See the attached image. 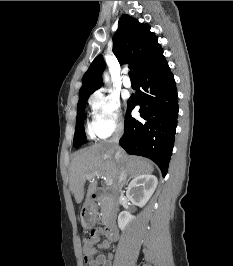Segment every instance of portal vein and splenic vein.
Here are the masks:
<instances>
[{
  "label": "portal vein and splenic vein",
  "instance_id": "18ae733b",
  "mask_svg": "<svg viewBox=\"0 0 233 266\" xmlns=\"http://www.w3.org/2000/svg\"><path fill=\"white\" fill-rule=\"evenodd\" d=\"M101 175L98 174V173H95V174H91L88 176V179H91L93 177H100ZM102 178H104L105 182L107 185H112L113 184V180L111 178H108V177H105V176H102Z\"/></svg>",
  "mask_w": 233,
  "mask_h": 266
}]
</instances>
